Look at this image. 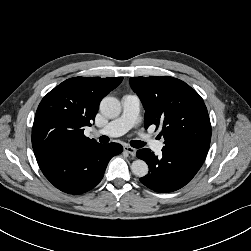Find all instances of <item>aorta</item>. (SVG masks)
Masks as SVG:
<instances>
[{
    "instance_id": "obj_1",
    "label": "aorta",
    "mask_w": 251,
    "mask_h": 251,
    "mask_svg": "<svg viewBox=\"0 0 251 251\" xmlns=\"http://www.w3.org/2000/svg\"><path fill=\"white\" fill-rule=\"evenodd\" d=\"M100 111L107 118H116L121 113L120 101L115 97H105L100 103ZM131 170L137 177H144L148 174L149 168L145 161L137 159L132 162Z\"/></svg>"
}]
</instances>
